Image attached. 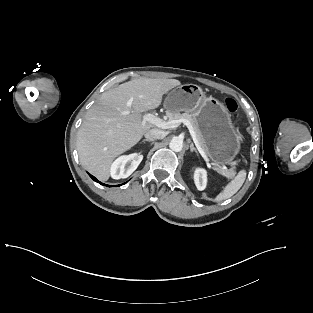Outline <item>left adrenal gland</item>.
<instances>
[{
    "mask_svg": "<svg viewBox=\"0 0 313 313\" xmlns=\"http://www.w3.org/2000/svg\"><path fill=\"white\" fill-rule=\"evenodd\" d=\"M190 151L191 152H195L196 154H198L197 149L194 147L193 143L190 144Z\"/></svg>",
    "mask_w": 313,
    "mask_h": 313,
    "instance_id": "a2214340",
    "label": "left adrenal gland"
}]
</instances>
